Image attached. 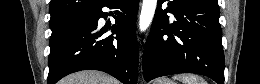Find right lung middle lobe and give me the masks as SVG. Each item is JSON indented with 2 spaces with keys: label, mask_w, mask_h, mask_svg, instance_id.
Returning a JSON list of instances; mask_svg holds the SVG:
<instances>
[{
  "label": "right lung middle lobe",
  "mask_w": 260,
  "mask_h": 84,
  "mask_svg": "<svg viewBox=\"0 0 260 84\" xmlns=\"http://www.w3.org/2000/svg\"><path fill=\"white\" fill-rule=\"evenodd\" d=\"M87 16H83L81 18H78L76 20H73L67 24H64L62 26L51 28L52 35L50 38V46L55 44L57 41H59L65 34H67L72 28L76 27L79 24H82L86 21Z\"/></svg>",
  "instance_id": "right-lung-middle-lobe-1"
}]
</instances>
